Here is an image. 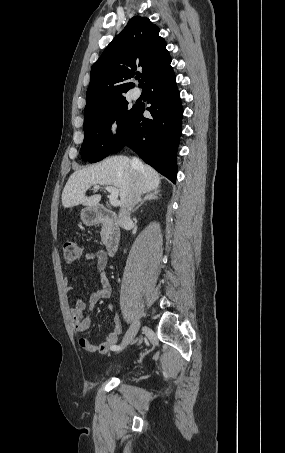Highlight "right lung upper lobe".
Instances as JSON below:
<instances>
[{
  "mask_svg": "<svg viewBox=\"0 0 285 453\" xmlns=\"http://www.w3.org/2000/svg\"><path fill=\"white\" fill-rule=\"evenodd\" d=\"M159 31L148 18L135 16L129 20L91 67L84 114L124 97L133 87L128 80L138 67L142 68L143 87L150 78L170 67L171 58Z\"/></svg>",
  "mask_w": 285,
  "mask_h": 453,
  "instance_id": "right-lung-upper-lobe-1",
  "label": "right lung upper lobe"
}]
</instances>
